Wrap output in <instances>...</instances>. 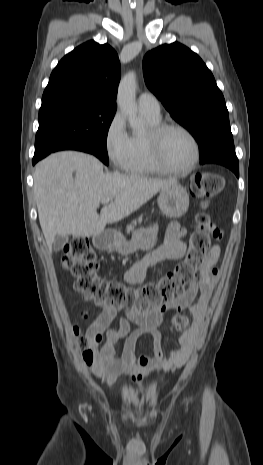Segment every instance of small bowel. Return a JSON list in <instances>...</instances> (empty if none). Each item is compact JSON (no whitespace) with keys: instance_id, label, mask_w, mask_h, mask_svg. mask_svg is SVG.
I'll return each mask as SVG.
<instances>
[{"instance_id":"c3829d8e","label":"small bowel","mask_w":263,"mask_h":465,"mask_svg":"<svg viewBox=\"0 0 263 465\" xmlns=\"http://www.w3.org/2000/svg\"><path fill=\"white\" fill-rule=\"evenodd\" d=\"M186 234L185 227L176 222L170 223L164 242L128 269L124 274L125 281L129 284H139L144 280L148 268L165 260L182 258L187 249L184 240ZM213 235L216 238L221 237L218 230ZM219 253V246H213L201 270L200 279L183 294L149 311L136 312L98 304L101 312L93 324V329L100 334L105 333L106 339L92 365L93 373L107 384L113 385L124 376L129 377L133 383H140L160 370L170 371L182 367L192 352L196 333L206 315L217 280L215 264ZM198 294L199 297L195 301ZM185 309L191 314L194 324L181 333L178 340L179 348L171 350L166 358L159 327L167 319L173 324L174 317ZM120 310L123 311V316L118 324L110 329V324ZM143 335H149L153 339L152 357L136 354L137 341ZM121 339L125 341L122 354L117 357L114 345Z\"/></svg>"}]
</instances>
